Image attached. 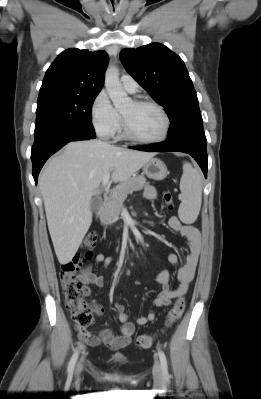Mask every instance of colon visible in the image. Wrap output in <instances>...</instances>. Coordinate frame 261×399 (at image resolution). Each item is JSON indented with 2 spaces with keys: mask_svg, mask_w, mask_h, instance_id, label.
Segmentation results:
<instances>
[{
  "mask_svg": "<svg viewBox=\"0 0 261 399\" xmlns=\"http://www.w3.org/2000/svg\"><path fill=\"white\" fill-rule=\"evenodd\" d=\"M163 201L168 208L173 207V196L166 191L163 194ZM98 235L95 232L86 234L83 245L86 249L85 253L77 255L71 261L64 263L60 269V283L62 294L66 303V308L70 313L76 330L85 339L88 338V327L93 322L92 306L83 301L81 296V287L76 276L82 264L92 257V250L96 247ZM185 309V301L178 298L170 309L166 325H173L183 314ZM153 337L150 335H141L136 339V347L139 349L150 348L153 344Z\"/></svg>",
  "mask_w": 261,
  "mask_h": 399,
  "instance_id": "obj_1",
  "label": "colon"
}]
</instances>
